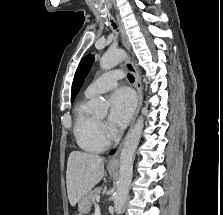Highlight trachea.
Segmentation results:
<instances>
[{"label": "trachea", "instance_id": "obj_1", "mask_svg": "<svg viewBox=\"0 0 223 215\" xmlns=\"http://www.w3.org/2000/svg\"><path fill=\"white\" fill-rule=\"evenodd\" d=\"M111 23H112L113 28H114L115 30H117V25H116L113 21H111ZM128 80H129L130 82H134V81H135V77H134L133 75H131V74H128Z\"/></svg>", "mask_w": 223, "mask_h": 215}]
</instances>
